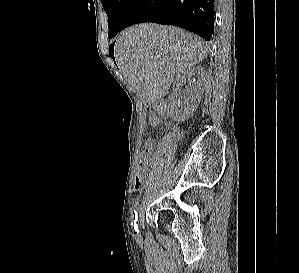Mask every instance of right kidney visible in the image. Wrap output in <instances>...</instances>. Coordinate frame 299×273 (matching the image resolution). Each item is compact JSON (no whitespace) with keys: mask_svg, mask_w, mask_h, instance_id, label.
I'll list each match as a JSON object with an SVG mask.
<instances>
[{"mask_svg":"<svg viewBox=\"0 0 299 273\" xmlns=\"http://www.w3.org/2000/svg\"><path fill=\"white\" fill-rule=\"evenodd\" d=\"M205 76V70L200 67H191L179 74L174 82V92L170 97L168 106L171 110H176L181 120H186L196 111L200 102L203 86L199 81ZM198 78L197 84H191ZM183 84H188L183 96L178 99L177 91Z\"/></svg>","mask_w":299,"mask_h":273,"instance_id":"right-kidney-1","label":"right kidney"}]
</instances>
